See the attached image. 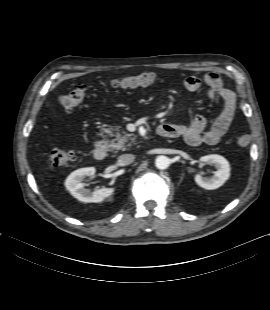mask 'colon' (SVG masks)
<instances>
[{"instance_id": "colon-1", "label": "colon", "mask_w": 270, "mask_h": 310, "mask_svg": "<svg viewBox=\"0 0 270 310\" xmlns=\"http://www.w3.org/2000/svg\"><path fill=\"white\" fill-rule=\"evenodd\" d=\"M156 76L153 73H141L134 76L112 80L109 84L114 88L135 89L151 85L155 82ZM86 98V88L77 89L60 96V104L65 109H73L81 105ZM236 145L241 149H247L251 143L248 134H239L235 138ZM75 159V152L70 149L56 148L50 152V160L55 166H64Z\"/></svg>"}]
</instances>
